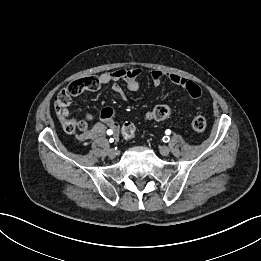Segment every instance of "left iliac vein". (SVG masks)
Returning <instances> with one entry per match:
<instances>
[{"instance_id":"left-iliac-vein-1","label":"left iliac vein","mask_w":261,"mask_h":261,"mask_svg":"<svg viewBox=\"0 0 261 261\" xmlns=\"http://www.w3.org/2000/svg\"><path fill=\"white\" fill-rule=\"evenodd\" d=\"M160 153H161L163 156H167V155L170 153L169 147H167V146H162V147L160 148Z\"/></svg>"}]
</instances>
